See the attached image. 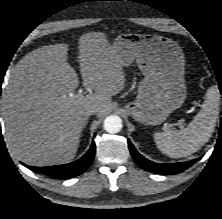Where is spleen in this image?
<instances>
[{
	"instance_id": "3e777b00",
	"label": "spleen",
	"mask_w": 222,
	"mask_h": 219,
	"mask_svg": "<svg viewBox=\"0 0 222 219\" xmlns=\"http://www.w3.org/2000/svg\"><path fill=\"white\" fill-rule=\"evenodd\" d=\"M220 95L217 87L207 90L201 110L187 127L156 132L154 139L160 151L171 158L197 152L210 139L218 120Z\"/></svg>"
}]
</instances>
